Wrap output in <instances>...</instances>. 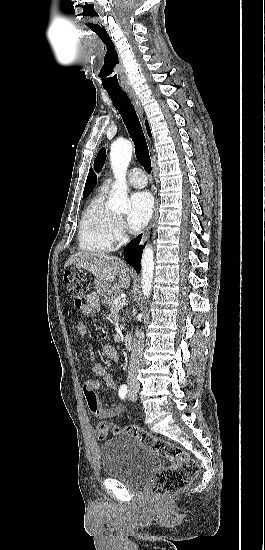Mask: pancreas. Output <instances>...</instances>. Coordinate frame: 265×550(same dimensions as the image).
I'll use <instances>...</instances> for the list:
<instances>
[{
    "mask_svg": "<svg viewBox=\"0 0 265 550\" xmlns=\"http://www.w3.org/2000/svg\"><path fill=\"white\" fill-rule=\"evenodd\" d=\"M121 293V290L118 286H114L112 287L106 294H105V297H104V301L103 303L111 308L113 307V301L116 297H119Z\"/></svg>",
    "mask_w": 265,
    "mask_h": 550,
    "instance_id": "1",
    "label": "pancreas"
}]
</instances>
